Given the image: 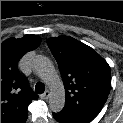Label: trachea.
<instances>
[{
  "label": "trachea",
  "instance_id": "trachea-1",
  "mask_svg": "<svg viewBox=\"0 0 123 123\" xmlns=\"http://www.w3.org/2000/svg\"><path fill=\"white\" fill-rule=\"evenodd\" d=\"M35 91L36 93L38 94H42L44 91H45V86L43 83H37L36 86H35Z\"/></svg>",
  "mask_w": 123,
  "mask_h": 123
}]
</instances>
